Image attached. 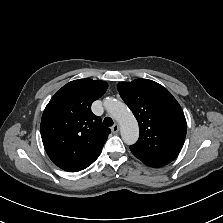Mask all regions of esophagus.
I'll return each instance as SVG.
<instances>
[{"label":"esophagus","mask_w":223,"mask_h":223,"mask_svg":"<svg viewBox=\"0 0 223 223\" xmlns=\"http://www.w3.org/2000/svg\"><path fill=\"white\" fill-rule=\"evenodd\" d=\"M111 131H112L113 134H117L119 132V125L118 124H114L111 127Z\"/></svg>","instance_id":"1"}]
</instances>
